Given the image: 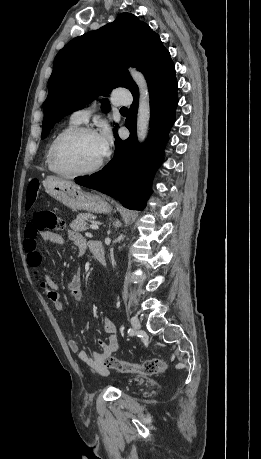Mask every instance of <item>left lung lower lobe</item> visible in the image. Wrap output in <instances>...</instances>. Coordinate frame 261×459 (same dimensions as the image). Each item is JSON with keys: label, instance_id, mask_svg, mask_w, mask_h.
I'll return each mask as SVG.
<instances>
[{"label": "left lung lower lobe", "instance_id": "1", "mask_svg": "<svg viewBox=\"0 0 261 459\" xmlns=\"http://www.w3.org/2000/svg\"><path fill=\"white\" fill-rule=\"evenodd\" d=\"M150 93V135L144 145L136 138V113L139 93L133 103L125 126L130 136L125 141L116 138L114 158L101 171L89 177L77 178L79 185L98 190L133 210H143L151 190L155 170L162 160L169 130L174 123L178 104L174 63L165 67L148 85Z\"/></svg>", "mask_w": 261, "mask_h": 459}]
</instances>
